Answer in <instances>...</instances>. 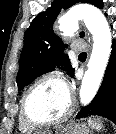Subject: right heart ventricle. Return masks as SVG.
Masks as SVG:
<instances>
[{"label": "right heart ventricle", "mask_w": 116, "mask_h": 134, "mask_svg": "<svg viewBox=\"0 0 116 134\" xmlns=\"http://www.w3.org/2000/svg\"><path fill=\"white\" fill-rule=\"evenodd\" d=\"M18 128L22 133H31L36 130V127H33L25 122L20 113L18 115Z\"/></svg>", "instance_id": "1"}]
</instances>
